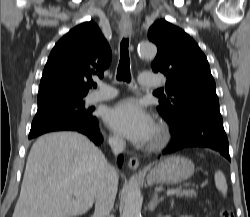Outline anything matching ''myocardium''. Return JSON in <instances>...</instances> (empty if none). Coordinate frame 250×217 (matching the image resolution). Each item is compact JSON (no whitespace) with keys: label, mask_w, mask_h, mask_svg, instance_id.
<instances>
[{"label":"myocardium","mask_w":250,"mask_h":217,"mask_svg":"<svg viewBox=\"0 0 250 217\" xmlns=\"http://www.w3.org/2000/svg\"><path fill=\"white\" fill-rule=\"evenodd\" d=\"M168 130L163 124H158L155 128V133L148 148L150 150H158L162 148L168 140Z\"/></svg>","instance_id":"obj_1"}]
</instances>
